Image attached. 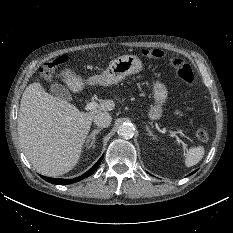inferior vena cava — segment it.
<instances>
[{
	"instance_id": "inferior-vena-cava-1",
	"label": "inferior vena cava",
	"mask_w": 233,
	"mask_h": 233,
	"mask_svg": "<svg viewBox=\"0 0 233 233\" xmlns=\"http://www.w3.org/2000/svg\"><path fill=\"white\" fill-rule=\"evenodd\" d=\"M94 123L101 128L108 127L111 124L112 117L107 112L98 113L94 117Z\"/></svg>"
}]
</instances>
